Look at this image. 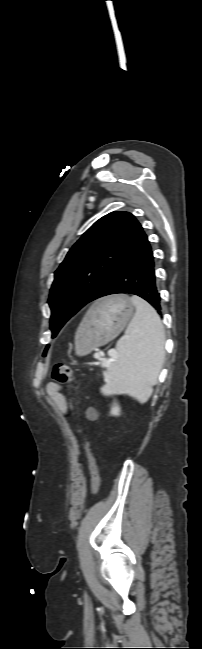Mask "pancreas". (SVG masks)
<instances>
[{
  "label": "pancreas",
  "mask_w": 202,
  "mask_h": 649,
  "mask_svg": "<svg viewBox=\"0 0 202 649\" xmlns=\"http://www.w3.org/2000/svg\"><path fill=\"white\" fill-rule=\"evenodd\" d=\"M100 358H101V357H100ZM99 360H100V359H99ZM100 362H101V366L103 367V366L105 365V363H106V360H105V361L100 360Z\"/></svg>",
  "instance_id": "obj_1"
}]
</instances>
